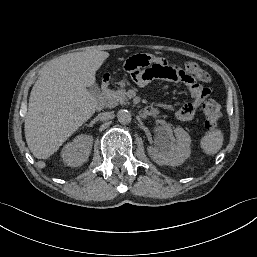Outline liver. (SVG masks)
Segmentation results:
<instances>
[{"instance_id":"liver-1","label":"liver","mask_w":257,"mask_h":257,"mask_svg":"<svg viewBox=\"0 0 257 257\" xmlns=\"http://www.w3.org/2000/svg\"><path fill=\"white\" fill-rule=\"evenodd\" d=\"M109 57L105 51L70 53L41 72L29 97L25 138L32 154L47 159L95 113L98 100L88 90L96 71Z\"/></svg>"}]
</instances>
